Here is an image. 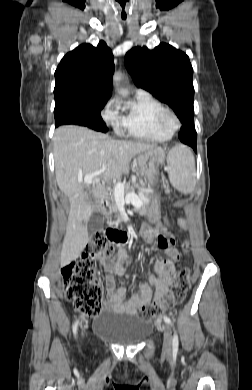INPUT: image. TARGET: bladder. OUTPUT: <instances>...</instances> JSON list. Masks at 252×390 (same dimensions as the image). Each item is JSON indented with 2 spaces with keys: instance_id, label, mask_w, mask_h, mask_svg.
<instances>
[{
  "instance_id": "1",
  "label": "bladder",
  "mask_w": 252,
  "mask_h": 390,
  "mask_svg": "<svg viewBox=\"0 0 252 390\" xmlns=\"http://www.w3.org/2000/svg\"><path fill=\"white\" fill-rule=\"evenodd\" d=\"M149 323L136 315H105L94 321L93 333L119 345H136L150 333Z\"/></svg>"
}]
</instances>
